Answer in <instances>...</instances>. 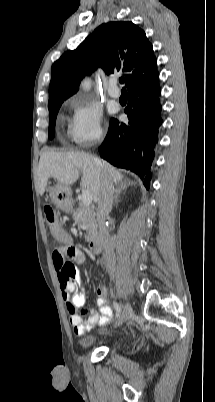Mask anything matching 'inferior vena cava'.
Wrapping results in <instances>:
<instances>
[{"instance_id":"inferior-vena-cava-1","label":"inferior vena cava","mask_w":215,"mask_h":402,"mask_svg":"<svg viewBox=\"0 0 215 402\" xmlns=\"http://www.w3.org/2000/svg\"><path fill=\"white\" fill-rule=\"evenodd\" d=\"M113 186L110 178L108 177L105 171L101 172V180H100V190L99 196L97 199V221L99 225V235L103 242V248L105 251V262L106 268L110 275V278H114L115 273V254H114V245L112 240L110 239L108 230L105 225L106 216L112 209L113 204Z\"/></svg>"}]
</instances>
